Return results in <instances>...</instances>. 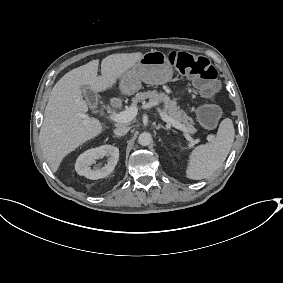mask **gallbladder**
<instances>
[{
	"mask_svg": "<svg viewBox=\"0 0 283 283\" xmlns=\"http://www.w3.org/2000/svg\"><path fill=\"white\" fill-rule=\"evenodd\" d=\"M84 94L89 98V102L92 104L94 110H99L101 108V103L98 101V96L95 94L93 89H87L85 86H82Z\"/></svg>",
	"mask_w": 283,
	"mask_h": 283,
	"instance_id": "obj_1",
	"label": "gallbladder"
}]
</instances>
